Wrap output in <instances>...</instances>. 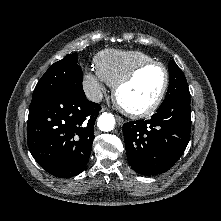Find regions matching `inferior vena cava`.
<instances>
[{
	"instance_id": "obj_1",
	"label": "inferior vena cava",
	"mask_w": 221,
	"mask_h": 221,
	"mask_svg": "<svg viewBox=\"0 0 221 221\" xmlns=\"http://www.w3.org/2000/svg\"><path fill=\"white\" fill-rule=\"evenodd\" d=\"M86 97L90 101L100 102L102 100V98H103V94L97 88H93L92 87V88H89L88 90H86Z\"/></svg>"
}]
</instances>
